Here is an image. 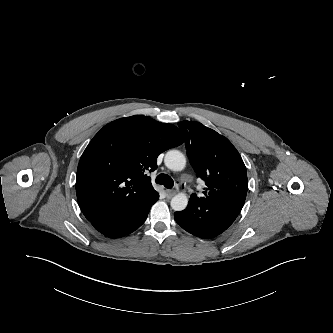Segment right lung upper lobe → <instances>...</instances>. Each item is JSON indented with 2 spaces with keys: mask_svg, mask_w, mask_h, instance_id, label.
<instances>
[{
  "mask_svg": "<svg viewBox=\"0 0 333 333\" xmlns=\"http://www.w3.org/2000/svg\"><path fill=\"white\" fill-rule=\"evenodd\" d=\"M183 142L177 127L143 115L104 126L77 168L76 193L85 217L124 215L157 201L147 174L157 168L159 154Z\"/></svg>",
  "mask_w": 333,
  "mask_h": 333,
  "instance_id": "1",
  "label": "right lung upper lobe"
}]
</instances>
